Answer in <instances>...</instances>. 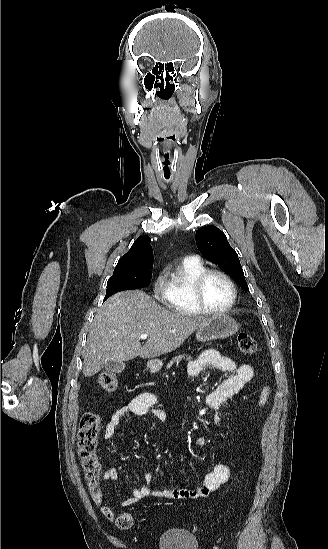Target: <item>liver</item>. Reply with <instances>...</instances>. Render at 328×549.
<instances>
[{"instance_id": "1", "label": "liver", "mask_w": 328, "mask_h": 549, "mask_svg": "<svg viewBox=\"0 0 328 549\" xmlns=\"http://www.w3.org/2000/svg\"><path fill=\"white\" fill-rule=\"evenodd\" d=\"M208 321L164 309L143 291L116 293L100 307L89 329L83 375H96L106 361L123 363L171 353ZM140 335H148L143 347Z\"/></svg>"}]
</instances>
